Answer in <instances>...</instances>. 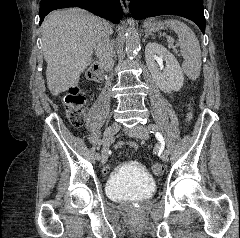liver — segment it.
<instances>
[{
  "instance_id": "liver-1",
  "label": "liver",
  "mask_w": 240,
  "mask_h": 238,
  "mask_svg": "<svg viewBox=\"0 0 240 238\" xmlns=\"http://www.w3.org/2000/svg\"><path fill=\"white\" fill-rule=\"evenodd\" d=\"M99 23L108 22L82 9L54 11L42 24V50L47 63L48 89L54 96L78 85L92 62L93 35Z\"/></svg>"
}]
</instances>
